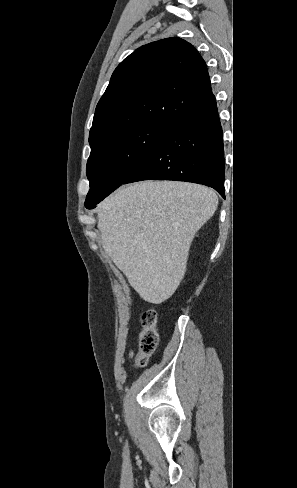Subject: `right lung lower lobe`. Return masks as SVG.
Returning <instances> with one entry per match:
<instances>
[{"label": "right lung lower lobe", "mask_w": 297, "mask_h": 488, "mask_svg": "<svg viewBox=\"0 0 297 488\" xmlns=\"http://www.w3.org/2000/svg\"><path fill=\"white\" fill-rule=\"evenodd\" d=\"M224 173L223 133L214 101L172 125L122 184L187 181L210 186L225 197Z\"/></svg>", "instance_id": "1"}]
</instances>
